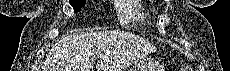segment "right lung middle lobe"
Segmentation results:
<instances>
[{"instance_id":"obj_1","label":"right lung middle lobe","mask_w":230,"mask_h":71,"mask_svg":"<svg viewBox=\"0 0 230 71\" xmlns=\"http://www.w3.org/2000/svg\"><path fill=\"white\" fill-rule=\"evenodd\" d=\"M86 3V0H70L71 6L74 8V12H78Z\"/></svg>"}]
</instances>
